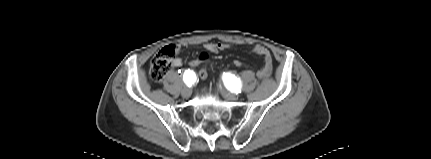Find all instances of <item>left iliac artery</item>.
Returning <instances> with one entry per match:
<instances>
[{
    "mask_svg": "<svg viewBox=\"0 0 431 159\" xmlns=\"http://www.w3.org/2000/svg\"><path fill=\"white\" fill-rule=\"evenodd\" d=\"M223 81L225 86L231 92H234L236 94L241 92V87H242L241 80L236 78L234 75L229 73L224 74Z\"/></svg>",
    "mask_w": 431,
    "mask_h": 159,
    "instance_id": "1",
    "label": "left iliac artery"
}]
</instances>
